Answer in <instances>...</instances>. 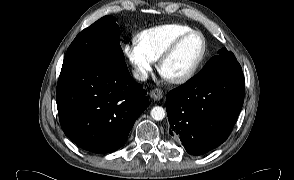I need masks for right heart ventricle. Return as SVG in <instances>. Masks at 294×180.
<instances>
[{"mask_svg": "<svg viewBox=\"0 0 294 180\" xmlns=\"http://www.w3.org/2000/svg\"><path fill=\"white\" fill-rule=\"evenodd\" d=\"M191 30L193 29L185 24H162L141 30L136 39L147 53L157 60L175 39Z\"/></svg>", "mask_w": 294, "mask_h": 180, "instance_id": "e07e8e85", "label": "right heart ventricle"}]
</instances>
